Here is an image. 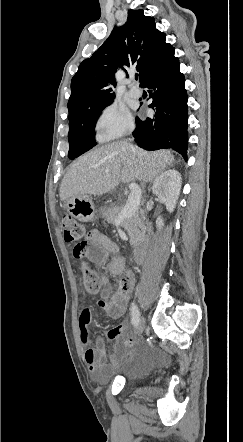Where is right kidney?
Segmentation results:
<instances>
[{"mask_svg":"<svg viewBox=\"0 0 243 442\" xmlns=\"http://www.w3.org/2000/svg\"><path fill=\"white\" fill-rule=\"evenodd\" d=\"M181 190V175L175 170H168L162 173L156 178L152 187L153 193L159 198V200L165 204L168 212H173ZM163 218L158 216L156 220V227L161 229Z\"/></svg>","mask_w":243,"mask_h":442,"instance_id":"right-kidney-1","label":"right kidney"}]
</instances>
